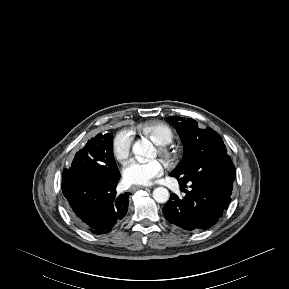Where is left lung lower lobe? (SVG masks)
I'll return each mask as SVG.
<instances>
[{"mask_svg":"<svg viewBox=\"0 0 289 289\" xmlns=\"http://www.w3.org/2000/svg\"><path fill=\"white\" fill-rule=\"evenodd\" d=\"M179 185L186 187L179 182ZM185 197L171 194L163 208L165 218L184 230H205L215 225L231 202L232 191L206 183H192Z\"/></svg>","mask_w":289,"mask_h":289,"instance_id":"left-lung-lower-lobe-1","label":"left lung lower lobe"}]
</instances>
